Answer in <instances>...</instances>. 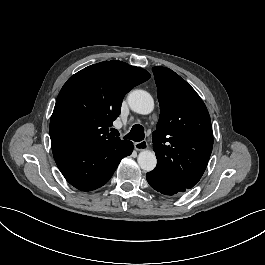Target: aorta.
<instances>
[{
	"instance_id": "obj_1",
	"label": "aorta",
	"mask_w": 265,
	"mask_h": 265,
	"mask_svg": "<svg viewBox=\"0 0 265 265\" xmlns=\"http://www.w3.org/2000/svg\"><path fill=\"white\" fill-rule=\"evenodd\" d=\"M130 109L138 114L147 115L154 109L153 97L144 90H133L127 96ZM137 162L140 168L146 172L152 171L157 164L155 153L143 150L139 153Z\"/></svg>"
}]
</instances>
